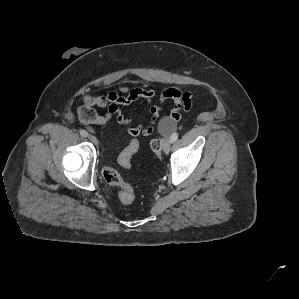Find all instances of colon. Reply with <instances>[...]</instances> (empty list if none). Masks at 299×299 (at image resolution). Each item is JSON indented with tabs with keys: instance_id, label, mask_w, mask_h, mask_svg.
I'll use <instances>...</instances> for the list:
<instances>
[{
	"instance_id": "5ec220e1",
	"label": "colon",
	"mask_w": 299,
	"mask_h": 299,
	"mask_svg": "<svg viewBox=\"0 0 299 299\" xmlns=\"http://www.w3.org/2000/svg\"><path fill=\"white\" fill-rule=\"evenodd\" d=\"M173 122L168 118L163 120L160 127L163 131H170L173 128ZM140 148V141L138 138H133L127 147L120 153L118 163L121 167L129 169L131 167L132 159ZM163 149V139H154L151 142V150L160 157ZM104 181L111 185L120 188L119 199L123 204H131L135 198L133 187L113 168L106 167L102 171Z\"/></svg>"
}]
</instances>
